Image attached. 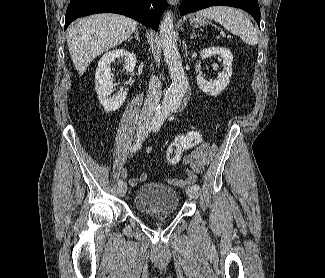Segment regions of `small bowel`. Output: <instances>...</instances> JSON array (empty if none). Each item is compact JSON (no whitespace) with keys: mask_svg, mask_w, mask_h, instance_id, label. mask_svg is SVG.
Here are the masks:
<instances>
[{"mask_svg":"<svg viewBox=\"0 0 325 278\" xmlns=\"http://www.w3.org/2000/svg\"><path fill=\"white\" fill-rule=\"evenodd\" d=\"M191 132L192 131L188 132L187 134H190ZM150 151L151 147H145V153H149ZM216 152V144L200 140V142L194 146V150L184 157V163L187 166L186 178H170L169 182L179 186L194 182L197 178L195 173H199L202 169L209 165L213 160ZM120 174L123 178L128 179V182L131 186H136L139 182H144L148 178L146 173H142L139 178H129V172L126 168H123L120 171Z\"/></svg>","mask_w":325,"mask_h":278,"instance_id":"1","label":"small bowel"}]
</instances>
